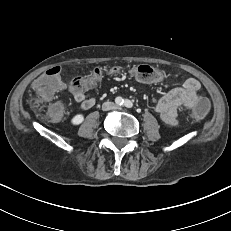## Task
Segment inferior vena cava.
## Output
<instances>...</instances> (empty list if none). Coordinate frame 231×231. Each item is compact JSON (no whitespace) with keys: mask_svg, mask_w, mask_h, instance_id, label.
I'll list each match as a JSON object with an SVG mask.
<instances>
[{"mask_svg":"<svg viewBox=\"0 0 231 231\" xmlns=\"http://www.w3.org/2000/svg\"><path fill=\"white\" fill-rule=\"evenodd\" d=\"M112 108H113V106H112L111 102H105L104 105H103L104 110H110Z\"/></svg>","mask_w":231,"mask_h":231,"instance_id":"obj_1","label":"inferior vena cava"}]
</instances>
